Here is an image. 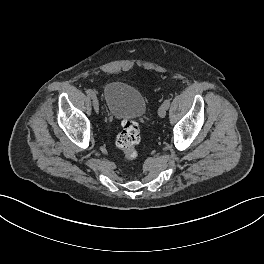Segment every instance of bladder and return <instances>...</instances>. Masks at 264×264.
<instances>
[{"label":"bladder","instance_id":"1","mask_svg":"<svg viewBox=\"0 0 264 264\" xmlns=\"http://www.w3.org/2000/svg\"><path fill=\"white\" fill-rule=\"evenodd\" d=\"M104 100L109 113L117 119L142 117L147 107L143 94L121 81H110L105 85Z\"/></svg>","mask_w":264,"mask_h":264}]
</instances>
